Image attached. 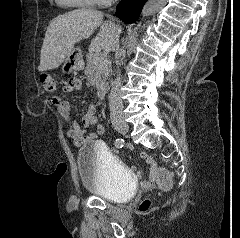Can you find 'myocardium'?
Returning <instances> with one entry per match:
<instances>
[{
	"label": "myocardium",
	"mask_w": 240,
	"mask_h": 238,
	"mask_svg": "<svg viewBox=\"0 0 240 238\" xmlns=\"http://www.w3.org/2000/svg\"><path fill=\"white\" fill-rule=\"evenodd\" d=\"M81 3L85 5H101L104 4V0H79Z\"/></svg>",
	"instance_id": "myocardium-1"
}]
</instances>
